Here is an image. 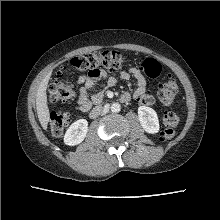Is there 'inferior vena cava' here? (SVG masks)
I'll return each mask as SVG.
<instances>
[{"mask_svg": "<svg viewBox=\"0 0 220 220\" xmlns=\"http://www.w3.org/2000/svg\"><path fill=\"white\" fill-rule=\"evenodd\" d=\"M93 112L105 114L108 112V107L104 106L103 108H100V107L94 108Z\"/></svg>", "mask_w": 220, "mask_h": 220, "instance_id": "602c4592", "label": "inferior vena cava"}]
</instances>
